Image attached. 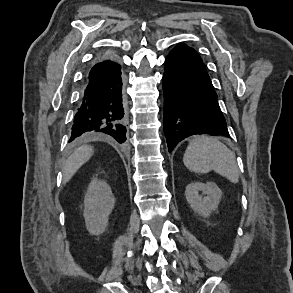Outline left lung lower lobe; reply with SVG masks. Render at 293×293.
Listing matches in <instances>:
<instances>
[{"instance_id": "left-lung-lower-lobe-1", "label": "left lung lower lobe", "mask_w": 293, "mask_h": 293, "mask_svg": "<svg viewBox=\"0 0 293 293\" xmlns=\"http://www.w3.org/2000/svg\"><path fill=\"white\" fill-rule=\"evenodd\" d=\"M162 83L164 133L169 152L190 135L229 137L217 94L205 66L192 48L179 44L170 52L165 60Z\"/></svg>"}]
</instances>
